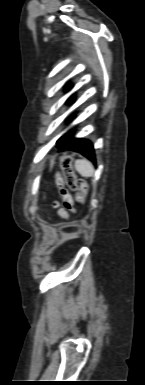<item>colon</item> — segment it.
Returning a JSON list of instances; mask_svg holds the SVG:
<instances>
[{
  "label": "colon",
  "instance_id": "5ec220e1",
  "mask_svg": "<svg viewBox=\"0 0 145 385\" xmlns=\"http://www.w3.org/2000/svg\"><path fill=\"white\" fill-rule=\"evenodd\" d=\"M61 170V173H55V183L63 199L64 207L71 212H75L74 201L84 204L88 187L84 180L76 176L69 155L62 156ZM71 192H75V198Z\"/></svg>",
  "mask_w": 145,
  "mask_h": 385
}]
</instances>
